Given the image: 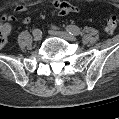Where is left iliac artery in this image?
I'll list each match as a JSON object with an SVG mask.
<instances>
[{"instance_id": "left-iliac-artery-1", "label": "left iliac artery", "mask_w": 119, "mask_h": 119, "mask_svg": "<svg viewBox=\"0 0 119 119\" xmlns=\"http://www.w3.org/2000/svg\"><path fill=\"white\" fill-rule=\"evenodd\" d=\"M67 31L75 36H78L81 34V30L79 29V27L75 26V25H69L67 26Z\"/></svg>"}]
</instances>
